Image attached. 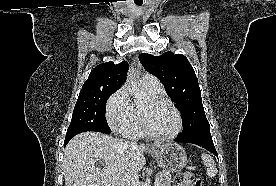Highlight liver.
<instances>
[{
    "label": "liver",
    "instance_id": "liver-1",
    "mask_svg": "<svg viewBox=\"0 0 276 186\" xmlns=\"http://www.w3.org/2000/svg\"><path fill=\"white\" fill-rule=\"evenodd\" d=\"M160 143L152 148L162 147ZM146 145L127 143L98 132L76 135L64 150L65 186H126L145 165ZM105 166L98 168L97 162Z\"/></svg>",
    "mask_w": 276,
    "mask_h": 186
}]
</instances>
